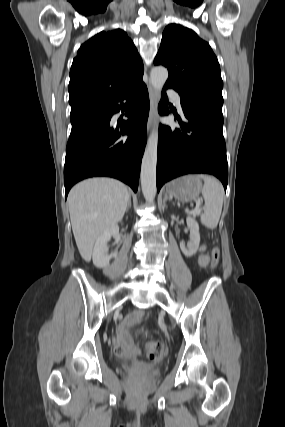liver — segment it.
Segmentation results:
<instances>
[{
    "label": "liver",
    "instance_id": "6515ba94",
    "mask_svg": "<svg viewBox=\"0 0 285 427\" xmlns=\"http://www.w3.org/2000/svg\"><path fill=\"white\" fill-rule=\"evenodd\" d=\"M129 192L114 179L92 178L75 185L68 195L74 238L81 257L89 262L96 239L124 216Z\"/></svg>",
    "mask_w": 285,
    "mask_h": 427
}]
</instances>
